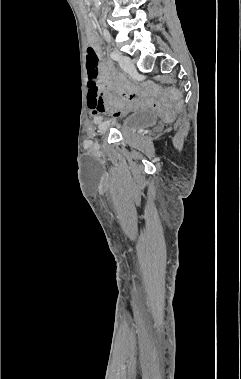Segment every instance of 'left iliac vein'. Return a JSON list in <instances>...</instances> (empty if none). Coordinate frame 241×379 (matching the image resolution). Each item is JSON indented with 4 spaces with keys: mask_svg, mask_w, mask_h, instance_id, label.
Wrapping results in <instances>:
<instances>
[{
    "mask_svg": "<svg viewBox=\"0 0 241 379\" xmlns=\"http://www.w3.org/2000/svg\"><path fill=\"white\" fill-rule=\"evenodd\" d=\"M119 64L125 72L132 75L136 73V68L128 56H121L119 59ZM108 126H109V123L103 124L102 130L105 131Z\"/></svg>",
    "mask_w": 241,
    "mask_h": 379,
    "instance_id": "4c4485c4",
    "label": "left iliac vein"
}]
</instances>
